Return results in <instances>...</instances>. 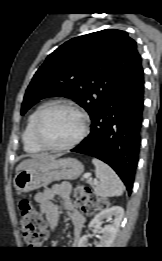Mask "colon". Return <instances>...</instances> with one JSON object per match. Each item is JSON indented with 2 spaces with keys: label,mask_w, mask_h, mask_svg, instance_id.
Returning <instances> with one entry per match:
<instances>
[{
  "label": "colon",
  "mask_w": 162,
  "mask_h": 261,
  "mask_svg": "<svg viewBox=\"0 0 162 261\" xmlns=\"http://www.w3.org/2000/svg\"><path fill=\"white\" fill-rule=\"evenodd\" d=\"M74 203L86 214H93L102 210L107 205V200L94 195L90 188L84 185L76 187L73 194ZM19 226L22 237L27 246H40L46 239L44 223L39 212L30 201L21 200Z\"/></svg>",
  "instance_id": "1"
}]
</instances>
